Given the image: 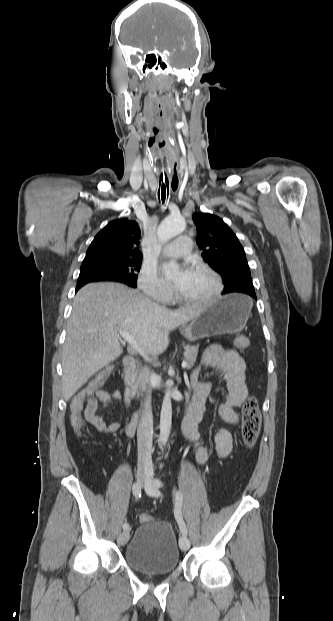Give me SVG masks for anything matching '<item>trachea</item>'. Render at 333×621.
<instances>
[{
	"label": "trachea",
	"instance_id": "trachea-1",
	"mask_svg": "<svg viewBox=\"0 0 333 621\" xmlns=\"http://www.w3.org/2000/svg\"><path fill=\"white\" fill-rule=\"evenodd\" d=\"M168 193H169V189H168V178L165 175V177H163V175L160 176V181H159V191H158V197L162 202L164 203L166 200V195L168 197Z\"/></svg>",
	"mask_w": 333,
	"mask_h": 621
}]
</instances>
